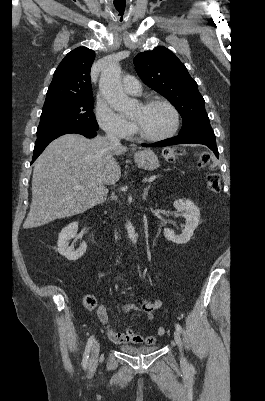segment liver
<instances>
[{
    "label": "liver",
    "mask_w": 265,
    "mask_h": 401,
    "mask_svg": "<svg viewBox=\"0 0 265 401\" xmlns=\"http://www.w3.org/2000/svg\"><path fill=\"white\" fill-rule=\"evenodd\" d=\"M126 150L105 136L89 140L82 134H63L50 142L34 162L32 203L23 229L80 215L103 203L104 184H115L121 176L113 154ZM74 184L85 188L75 190Z\"/></svg>",
    "instance_id": "6515ba94"
}]
</instances>
